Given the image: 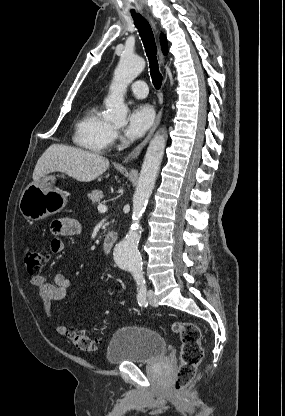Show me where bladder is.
<instances>
[{"instance_id":"1","label":"bladder","mask_w":285,"mask_h":416,"mask_svg":"<svg viewBox=\"0 0 285 416\" xmlns=\"http://www.w3.org/2000/svg\"><path fill=\"white\" fill-rule=\"evenodd\" d=\"M167 355V340L156 330L141 325L118 328L107 350L111 363H153Z\"/></svg>"}]
</instances>
